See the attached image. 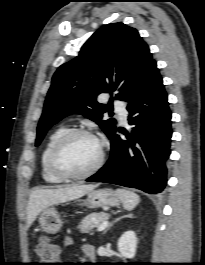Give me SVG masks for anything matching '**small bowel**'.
<instances>
[{
  "label": "small bowel",
  "mask_w": 205,
  "mask_h": 265,
  "mask_svg": "<svg viewBox=\"0 0 205 265\" xmlns=\"http://www.w3.org/2000/svg\"><path fill=\"white\" fill-rule=\"evenodd\" d=\"M71 243H72V239H71V238H67L66 241H65V244H66V245H70ZM87 246H88V245L85 246V248H84L85 250H86V247H87Z\"/></svg>",
  "instance_id": "small-bowel-1"
}]
</instances>
